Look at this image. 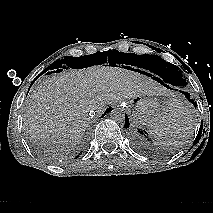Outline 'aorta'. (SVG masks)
Segmentation results:
<instances>
[{"instance_id":"762f6f07","label":"aorta","mask_w":213,"mask_h":213,"mask_svg":"<svg viewBox=\"0 0 213 213\" xmlns=\"http://www.w3.org/2000/svg\"><path fill=\"white\" fill-rule=\"evenodd\" d=\"M110 117L117 123H123L125 121V112L122 109L117 108L111 111Z\"/></svg>"}]
</instances>
